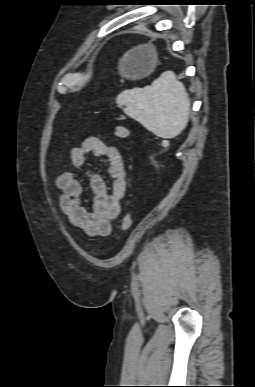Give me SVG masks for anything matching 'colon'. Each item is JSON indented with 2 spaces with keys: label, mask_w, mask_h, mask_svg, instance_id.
<instances>
[{
  "label": "colon",
  "mask_w": 255,
  "mask_h": 387,
  "mask_svg": "<svg viewBox=\"0 0 255 387\" xmlns=\"http://www.w3.org/2000/svg\"><path fill=\"white\" fill-rule=\"evenodd\" d=\"M114 135L118 139H122V140L126 139L129 136V129L124 125H116L114 128ZM132 223H133L132 214L128 212L123 216L121 220L120 229L123 231H126L130 229V227L132 226Z\"/></svg>",
  "instance_id": "colon-1"
}]
</instances>
